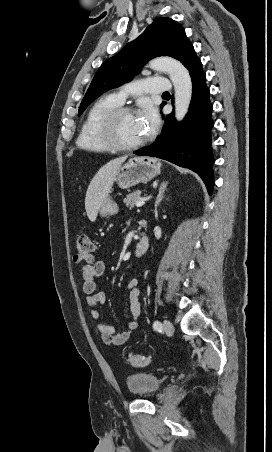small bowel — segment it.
<instances>
[{"label":"small bowel","mask_w":272,"mask_h":452,"mask_svg":"<svg viewBox=\"0 0 272 452\" xmlns=\"http://www.w3.org/2000/svg\"><path fill=\"white\" fill-rule=\"evenodd\" d=\"M105 270L106 263L103 260H96L93 263L83 265L81 268L82 290L86 295V305L92 318L96 321V329L101 340L109 346H119L123 345L139 326L141 289L136 279L127 283L126 294L130 320L122 332H116L114 327L99 321L100 314L97 307L105 302L106 295L97 291V280L103 276Z\"/></svg>","instance_id":"c3829d8e"}]
</instances>
